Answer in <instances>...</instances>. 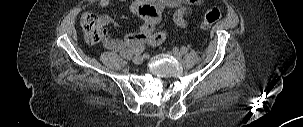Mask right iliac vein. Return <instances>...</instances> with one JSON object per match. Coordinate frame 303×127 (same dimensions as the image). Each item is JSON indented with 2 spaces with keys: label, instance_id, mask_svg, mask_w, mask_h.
<instances>
[{
  "label": "right iliac vein",
  "instance_id": "1",
  "mask_svg": "<svg viewBox=\"0 0 303 127\" xmlns=\"http://www.w3.org/2000/svg\"><path fill=\"white\" fill-rule=\"evenodd\" d=\"M133 63L137 64V65L142 64L143 63V57L141 55L134 56Z\"/></svg>",
  "mask_w": 303,
  "mask_h": 127
}]
</instances>
